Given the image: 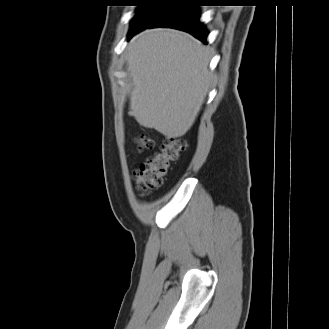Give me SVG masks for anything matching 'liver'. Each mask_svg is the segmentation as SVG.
Segmentation results:
<instances>
[{
	"label": "liver",
	"mask_w": 329,
	"mask_h": 329,
	"mask_svg": "<svg viewBox=\"0 0 329 329\" xmlns=\"http://www.w3.org/2000/svg\"><path fill=\"white\" fill-rule=\"evenodd\" d=\"M210 52L188 33L145 30L127 46L132 79L130 116L166 138L183 136L207 95Z\"/></svg>",
	"instance_id": "6515ba94"
}]
</instances>
